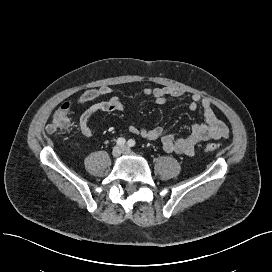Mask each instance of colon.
<instances>
[{
	"instance_id": "5ec220e1",
	"label": "colon",
	"mask_w": 272,
	"mask_h": 272,
	"mask_svg": "<svg viewBox=\"0 0 272 272\" xmlns=\"http://www.w3.org/2000/svg\"><path fill=\"white\" fill-rule=\"evenodd\" d=\"M70 108L68 106H61L52 116L47 126V131L51 134L66 130L70 127L69 118ZM205 151L212 152L216 149L214 143H207L202 146Z\"/></svg>"
}]
</instances>
